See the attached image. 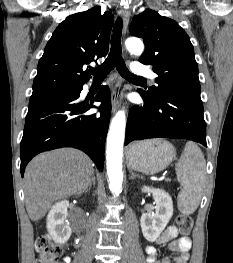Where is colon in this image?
<instances>
[{"label":"colon","mask_w":233,"mask_h":263,"mask_svg":"<svg viewBox=\"0 0 233 263\" xmlns=\"http://www.w3.org/2000/svg\"><path fill=\"white\" fill-rule=\"evenodd\" d=\"M177 224L182 234H189L193 220L190 215L181 214L177 218ZM35 249L37 253L35 263H58L59 258L63 253V247L56 244L47 235L39 236L35 242Z\"/></svg>","instance_id":"obj_1"}]
</instances>
